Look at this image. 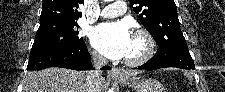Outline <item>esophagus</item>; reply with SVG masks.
Listing matches in <instances>:
<instances>
[{"label": "esophagus", "mask_w": 225, "mask_h": 92, "mask_svg": "<svg viewBox=\"0 0 225 92\" xmlns=\"http://www.w3.org/2000/svg\"><path fill=\"white\" fill-rule=\"evenodd\" d=\"M111 75L122 76V72L117 67H112L110 70Z\"/></svg>", "instance_id": "obj_1"}]
</instances>
